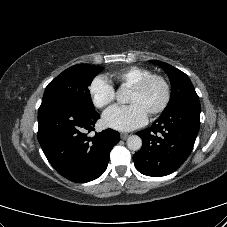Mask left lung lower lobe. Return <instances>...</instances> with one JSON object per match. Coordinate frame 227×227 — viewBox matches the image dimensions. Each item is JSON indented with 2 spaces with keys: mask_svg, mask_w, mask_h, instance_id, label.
<instances>
[{
  "mask_svg": "<svg viewBox=\"0 0 227 227\" xmlns=\"http://www.w3.org/2000/svg\"><path fill=\"white\" fill-rule=\"evenodd\" d=\"M200 127V102H184L136 134L143 141L133 156L135 167L147 176L177 170L191 153Z\"/></svg>",
  "mask_w": 227,
  "mask_h": 227,
  "instance_id": "1",
  "label": "left lung lower lobe"
}]
</instances>
